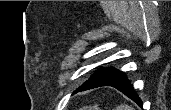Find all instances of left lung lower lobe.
Wrapping results in <instances>:
<instances>
[{
	"mask_svg": "<svg viewBox=\"0 0 171 110\" xmlns=\"http://www.w3.org/2000/svg\"><path fill=\"white\" fill-rule=\"evenodd\" d=\"M100 86H112L124 93L127 97L131 98L140 107H142V101L135 93L134 88L131 85L130 81L127 79L125 73L115 70L113 68L103 73L96 79L89 82H85L74 93Z\"/></svg>",
	"mask_w": 171,
	"mask_h": 110,
	"instance_id": "1",
	"label": "left lung lower lobe"
}]
</instances>
